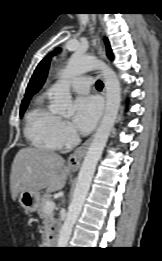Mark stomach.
I'll return each mask as SVG.
<instances>
[{
	"mask_svg": "<svg viewBox=\"0 0 162 261\" xmlns=\"http://www.w3.org/2000/svg\"><path fill=\"white\" fill-rule=\"evenodd\" d=\"M19 203L28 212H34L38 209L40 203L39 192H21L19 195Z\"/></svg>",
	"mask_w": 162,
	"mask_h": 261,
	"instance_id": "1",
	"label": "stomach"
}]
</instances>
